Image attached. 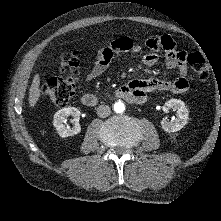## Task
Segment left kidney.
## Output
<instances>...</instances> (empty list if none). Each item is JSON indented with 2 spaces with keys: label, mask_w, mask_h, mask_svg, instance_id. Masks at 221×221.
I'll return each mask as SVG.
<instances>
[{
  "label": "left kidney",
  "mask_w": 221,
  "mask_h": 221,
  "mask_svg": "<svg viewBox=\"0 0 221 221\" xmlns=\"http://www.w3.org/2000/svg\"><path fill=\"white\" fill-rule=\"evenodd\" d=\"M162 109L165 113H168L170 109L177 111V118L174 121L168 122L166 119L162 120L161 126L164 131L168 133L177 132L187 124L189 118L188 108L183 101L179 99H170L165 102Z\"/></svg>",
  "instance_id": "5707ae66"
}]
</instances>
